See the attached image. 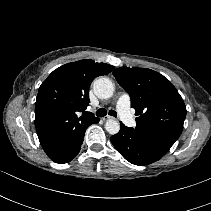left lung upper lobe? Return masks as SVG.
Here are the masks:
<instances>
[{"instance_id": "1", "label": "left lung upper lobe", "mask_w": 211, "mask_h": 211, "mask_svg": "<svg viewBox=\"0 0 211 211\" xmlns=\"http://www.w3.org/2000/svg\"><path fill=\"white\" fill-rule=\"evenodd\" d=\"M113 75L130 95L138 115L133 131L164 156L183 130L186 107L182 97L166 77L147 68L120 67Z\"/></svg>"}]
</instances>
